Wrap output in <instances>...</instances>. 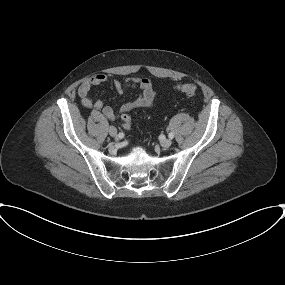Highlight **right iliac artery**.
Segmentation results:
<instances>
[{
	"label": "right iliac artery",
	"instance_id": "82829eb1",
	"mask_svg": "<svg viewBox=\"0 0 285 285\" xmlns=\"http://www.w3.org/2000/svg\"><path fill=\"white\" fill-rule=\"evenodd\" d=\"M118 137H119V138H123V137H124V134L121 132V133L118 134Z\"/></svg>",
	"mask_w": 285,
	"mask_h": 285
}]
</instances>
